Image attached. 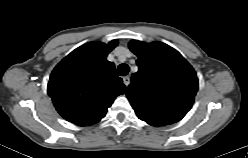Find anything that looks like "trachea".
Listing matches in <instances>:
<instances>
[{
  "label": "trachea",
  "mask_w": 248,
  "mask_h": 158,
  "mask_svg": "<svg viewBox=\"0 0 248 158\" xmlns=\"http://www.w3.org/2000/svg\"><path fill=\"white\" fill-rule=\"evenodd\" d=\"M129 73V66L127 64H121L118 67V75L125 76Z\"/></svg>",
  "instance_id": "1"
}]
</instances>
